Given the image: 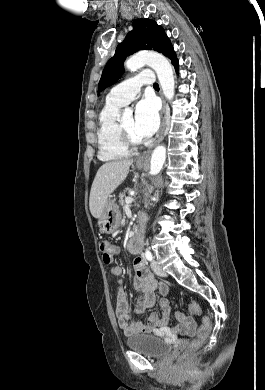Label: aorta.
Masks as SVG:
<instances>
[{
    "label": "aorta",
    "instance_id": "1",
    "mask_svg": "<svg viewBox=\"0 0 265 390\" xmlns=\"http://www.w3.org/2000/svg\"><path fill=\"white\" fill-rule=\"evenodd\" d=\"M144 65L150 66L155 70L163 94L167 100L174 98L175 81L173 69L170 62L161 54L156 52H141L133 55L125 63L128 70L135 71ZM133 111L130 108H125L123 113L124 119L132 118ZM166 159V147L164 145L157 146L151 156L150 172L153 175L160 173Z\"/></svg>",
    "mask_w": 265,
    "mask_h": 390
}]
</instances>
